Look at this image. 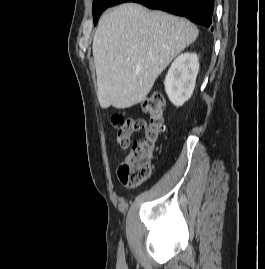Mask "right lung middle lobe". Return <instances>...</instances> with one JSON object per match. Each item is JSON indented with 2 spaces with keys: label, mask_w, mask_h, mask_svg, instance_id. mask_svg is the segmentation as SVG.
<instances>
[{
  "label": "right lung middle lobe",
  "mask_w": 265,
  "mask_h": 269,
  "mask_svg": "<svg viewBox=\"0 0 265 269\" xmlns=\"http://www.w3.org/2000/svg\"><path fill=\"white\" fill-rule=\"evenodd\" d=\"M114 0H93V17H94V24L97 23L100 15L102 12L110 7L111 3Z\"/></svg>",
  "instance_id": "dd1d6c3e"
}]
</instances>
